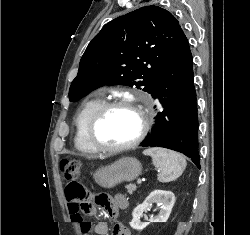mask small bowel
I'll list each match as a JSON object with an SVG mask.
<instances>
[{
    "mask_svg": "<svg viewBox=\"0 0 250 235\" xmlns=\"http://www.w3.org/2000/svg\"><path fill=\"white\" fill-rule=\"evenodd\" d=\"M67 208L73 222L80 226L83 235H89L91 224L84 217L94 214V210L90 208L87 211L79 209V204L70 201L66 196ZM107 214L116 217L121 209L126 206V201L123 196L117 195L112 198H106L97 203ZM94 231L99 235H106L108 232V224L105 221H99L94 226ZM112 235H131L129 229L120 223H116L112 228Z\"/></svg>",
    "mask_w": 250,
    "mask_h": 235,
    "instance_id": "obj_1",
    "label": "small bowel"
}]
</instances>
